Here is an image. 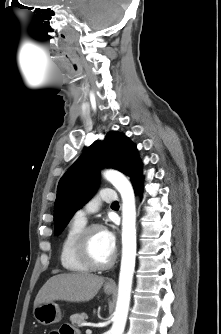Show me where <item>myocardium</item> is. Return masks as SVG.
<instances>
[{"mask_svg": "<svg viewBox=\"0 0 221 334\" xmlns=\"http://www.w3.org/2000/svg\"><path fill=\"white\" fill-rule=\"evenodd\" d=\"M104 230L101 224L93 223L85 226L76 240V253L80 261L92 270H105L109 269L115 262L117 252L114 250L112 257L105 263L96 261L90 251V240L94 231Z\"/></svg>", "mask_w": 221, "mask_h": 334, "instance_id": "1", "label": "myocardium"}]
</instances>
